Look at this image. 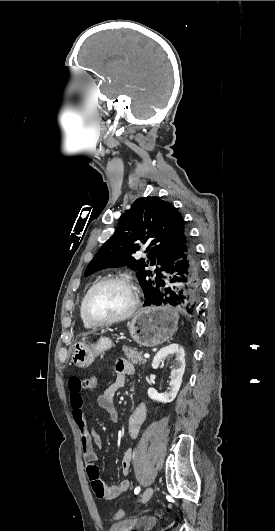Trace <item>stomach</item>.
Returning a JSON list of instances; mask_svg holds the SVG:
<instances>
[{"label": "stomach", "instance_id": "1", "mask_svg": "<svg viewBox=\"0 0 275 531\" xmlns=\"http://www.w3.org/2000/svg\"><path fill=\"white\" fill-rule=\"evenodd\" d=\"M178 319L177 311L166 307L165 303H160L159 307L140 309L128 323V331L133 341L141 347H157L174 335ZM111 347L112 341L107 337L99 339L97 343H74L71 363L80 369H86L94 363L95 357H99Z\"/></svg>", "mask_w": 275, "mask_h": 531}]
</instances>
